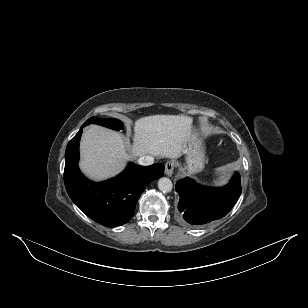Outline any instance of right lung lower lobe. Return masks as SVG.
<instances>
[{
	"label": "right lung lower lobe",
	"instance_id": "98d812e1",
	"mask_svg": "<svg viewBox=\"0 0 308 308\" xmlns=\"http://www.w3.org/2000/svg\"><path fill=\"white\" fill-rule=\"evenodd\" d=\"M68 143L65 152L64 182L72 201L93 221L116 227L134 215L136 202L146 186L164 174V165L130 164L117 177L95 183L86 179L78 168L82 128Z\"/></svg>",
	"mask_w": 308,
	"mask_h": 308
}]
</instances>
